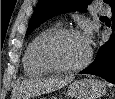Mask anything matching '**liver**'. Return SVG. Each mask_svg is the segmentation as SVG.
I'll list each match as a JSON object with an SVG mask.
<instances>
[{"instance_id": "obj_1", "label": "liver", "mask_w": 115, "mask_h": 99, "mask_svg": "<svg viewBox=\"0 0 115 99\" xmlns=\"http://www.w3.org/2000/svg\"><path fill=\"white\" fill-rule=\"evenodd\" d=\"M74 80L73 75L27 80L18 84L19 99H29L41 93L58 90Z\"/></svg>"}]
</instances>
